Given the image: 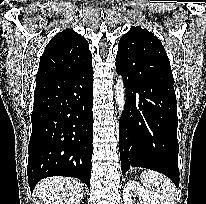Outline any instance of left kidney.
<instances>
[{
  "label": "left kidney",
  "mask_w": 206,
  "mask_h": 204,
  "mask_svg": "<svg viewBox=\"0 0 206 204\" xmlns=\"http://www.w3.org/2000/svg\"><path fill=\"white\" fill-rule=\"evenodd\" d=\"M138 196L141 204H156L150 194L136 181H127L123 190L124 204H135L132 197Z\"/></svg>",
  "instance_id": "obj_1"
}]
</instances>
